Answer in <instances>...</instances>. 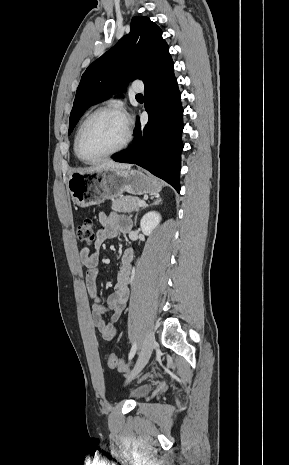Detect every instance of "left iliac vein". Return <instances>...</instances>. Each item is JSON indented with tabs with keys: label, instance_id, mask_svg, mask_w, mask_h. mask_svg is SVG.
<instances>
[{
	"label": "left iliac vein",
	"instance_id": "4c4485c4",
	"mask_svg": "<svg viewBox=\"0 0 289 465\" xmlns=\"http://www.w3.org/2000/svg\"><path fill=\"white\" fill-rule=\"evenodd\" d=\"M155 346V337L153 332H148L144 338V342L139 353V357L134 369L127 376V381H131L147 364L153 348Z\"/></svg>",
	"mask_w": 289,
	"mask_h": 465
}]
</instances>
